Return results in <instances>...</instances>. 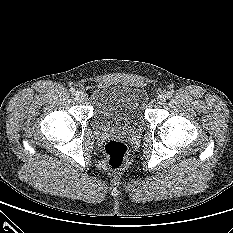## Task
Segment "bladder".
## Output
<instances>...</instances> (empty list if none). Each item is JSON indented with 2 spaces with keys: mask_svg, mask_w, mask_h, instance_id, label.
<instances>
[{
  "mask_svg": "<svg viewBox=\"0 0 233 233\" xmlns=\"http://www.w3.org/2000/svg\"><path fill=\"white\" fill-rule=\"evenodd\" d=\"M92 122L98 129L139 130L145 124L147 93L143 88L125 85H98L91 93Z\"/></svg>",
  "mask_w": 233,
  "mask_h": 233,
  "instance_id": "1",
  "label": "bladder"
}]
</instances>
